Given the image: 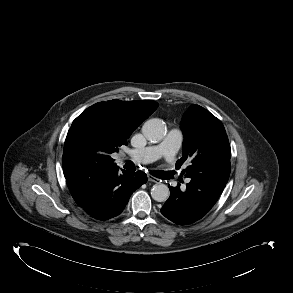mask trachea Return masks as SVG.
Here are the masks:
<instances>
[{"label": "trachea", "instance_id": "3493384b", "mask_svg": "<svg viewBox=\"0 0 293 293\" xmlns=\"http://www.w3.org/2000/svg\"><path fill=\"white\" fill-rule=\"evenodd\" d=\"M124 168L129 170V171H134L135 170V165L133 162L131 161H128L125 165H124ZM153 176L155 177H159V172L158 171H155L152 173Z\"/></svg>", "mask_w": 293, "mask_h": 293}]
</instances>
